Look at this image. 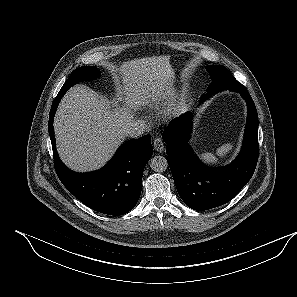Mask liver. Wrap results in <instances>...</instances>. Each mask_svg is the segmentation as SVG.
Masks as SVG:
<instances>
[{
    "label": "liver",
    "mask_w": 297,
    "mask_h": 297,
    "mask_svg": "<svg viewBox=\"0 0 297 297\" xmlns=\"http://www.w3.org/2000/svg\"><path fill=\"white\" fill-rule=\"evenodd\" d=\"M121 79L119 94L127 108H114L83 85L72 87L62 98L54 119L57 151L70 169L84 172L102 167L124 140V128L139 110L170 93L173 69L169 56H153L111 66ZM132 110V111H131Z\"/></svg>",
    "instance_id": "1"
}]
</instances>
